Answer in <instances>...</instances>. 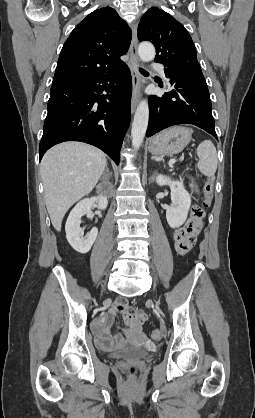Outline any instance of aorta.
I'll return each mask as SVG.
<instances>
[{
  "mask_svg": "<svg viewBox=\"0 0 255 418\" xmlns=\"http://www.w3.org/2000/svg\"><path fill=\"white\" fill-rule=\"evenodd\" d=\"M138 54L142 61L148 62L154 59L155 57V48L151 43L143 42L139 45ZM149 121V106L147 100H142L137 106L134 120L132 123L131 137L132 145L134 149H139L145 133L147 130Z\"/></svg>",
  "mask_w": 255,
  "mask_h": 418,
  "instance_id": "aorta-1",
  "label": "aorta"
}]
</instances>
